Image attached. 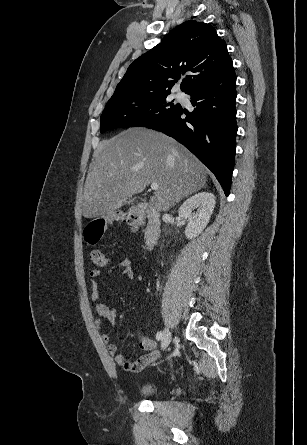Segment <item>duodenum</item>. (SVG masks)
Listing matches in <instances>:
<instances>
[{
  "mask_svg": "<svg viewBox=\"0 0 307 445\" xmlns=\"http://www.w3.org/2000/svg\"><path fill=\"white\" fill-rule=\"evenodd\" d=\"M140 212L146 214L147 226L144 232V247L151 249L158 241L161 233V219L157 210L142 205L138 208Z\"/></svg>",
  "mask_w": 307,
  "mask_h": 445,
  "instance_id": "1",
  "label": "duodenum"
}]
</instances>
